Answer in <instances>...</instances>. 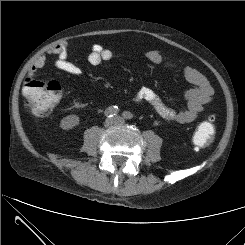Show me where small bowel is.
<instances>
[{
    "instance_id": "small-bowel-1",
    "label": "small bowel",
    "mask_w": 245,
    "mask_h": 245,
    "mask_svg": "<svg viewBox=\"0 0 245 245\" xmlns=\"http://www.w3.org/2000/svg\"><path fill=\"white\" fill-rule=\"evenodd\" d=\"M70 44L67 42L58 44L50 48L46 54L38 57L30 69L29 75L34 74L44 67L47 61V56H54V64L60 70L72 76H81L82 69L69 60ZM113 52L110 49L104 48L99 44L92 46L88 56V61L92 66H97L103 61L112 59ZM146 58L153 64L163 65L170 70H180L185 80L190 84V87L185 90L184 95L187 101V106L184 110H175L164 101L151 89H142L134 97L136 103H147L152 106L158 115L170 122L189 123L195 120L204 110L205 105L212 101L214 90L207 78L198 70L185 66L181 67L179 63L170 60L163 56L158 51H149L146 53Z\"/></svg>"
}]
</instances>
